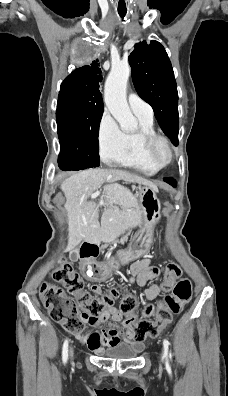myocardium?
I'll use <instances>...</instances> for the list:
<instances>
[{"label":"myocardium","mask_w":228,"mask_h":396,"mask_svg":"<svg viewBox=\"0 0 228 396\" xmlns=\"http://www.w3.org/2000/svg\"><path fill=\"white\" fill-rule=\"evenodd\" d=\"M138 136L140 138L144 156L151 165L162 169L172 162L173 150L170 141L165 136H162L158 133L146 132L143 130L139 131ZM160 145L165 146L168 152V158L164 162L160 161L156 154L157 148Z\"/></svg>","instance_id":"myocardium-1"}]
</instances>
